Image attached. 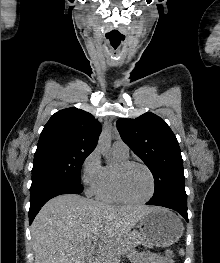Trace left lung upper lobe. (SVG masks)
I'll return each instance as SVG.
<instances>
[{"instance_id": "left-lung-upper-lobe-1", "label": "left lung upper lobe", "mask_w": 220, "mask_h": 263, "mask_svg": "<svg viewBox=\"0 0 220 263\" xmlns=\"http://www.w3.org/2000/svg\"><path fill=\"white\" fill-rule=\"evenodd\" d=\"M117 129L153 174L155 191L151 201L187 206L181 151L167 123L147 112L136 119H119Z\"/></svg>"}]
</instances>
